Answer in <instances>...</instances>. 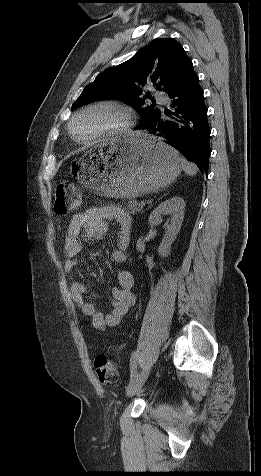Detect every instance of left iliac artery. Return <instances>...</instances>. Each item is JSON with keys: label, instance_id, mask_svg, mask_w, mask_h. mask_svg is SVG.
Here are the masks:
<instances>
[{"label": "left iliac artery", "instance_id": "44dca946", "mask_svg": "<svg viewBox=\"0 0 261 476\" xmlns=\"http://www.w3.org/2000/svg\"><path fill=\"white\" fill-rule=\"evenodd\" d=\"M138 351H135L132 353L131 355V359H130V365H131V373H130V382H132V380L137 376V360H138Z\"/></svg>", "mask_w": 261, "mask_h": 476}]
</instances>
